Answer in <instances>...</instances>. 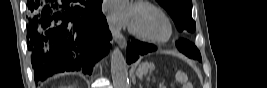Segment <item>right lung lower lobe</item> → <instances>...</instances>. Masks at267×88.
<instances>
[{
  "label": "right lung lower lobe",
  "instance_id": "obj_1",
  "mask_svg": "<svg viewBox=\"0 0 267 88\" xmlns=\"http://www.w3.org/2000/svg\"><path fill=\"white\" fill-rule=\"evenodd\" d=\"M101 4L102 0L28 2L27 47L36 82L65 71L92 73L94 63L109 52L111 39Z\"/></svg>",
  "mask_w": 267,
  "mask_h": 88
}]
</instances>
